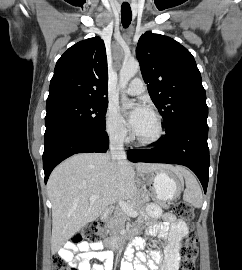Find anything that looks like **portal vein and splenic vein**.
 Masks as SVG:
<instances>
[{
	"label": "portal vein and splenic vein",
	"instance_id": "18ae733b",
	"mask_svg": "<svg viewBox=\"0 0 242 270\" xmlns=\"http://www.w3.org/2000/svg\"><path fill=\"white\" fill-rule=\"evenodd\" d=\"M99 196L97 195H92L89 197V200H96L98 199ZM118 205L119 207L126 213V214H129V215H137V211L133 208V206L131 204H129L128 202L126 201H122L120 200L118 202Z\"/></svg>",
	"mask_w": 242,
	"mask_h": 270
}]
</instances>
